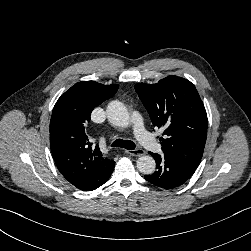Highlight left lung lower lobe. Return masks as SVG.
I'll use <instances>...</instances> for the list:
<instances>
[{"mask_svg":"<svg viewBox=\"0 0 251 251\" xmlns=\"http://www.w3.org/2000/svg\"><path fill=\"white\" fill-rule=\"evenodd\" d=\"M156 160V171L145 179L163 189H173L185 183L195 172L191 165L169 157L149 152Z\"/></svg>","mask_w":251,"mask_h":251,"instance_id":"1","label":"left lung lower lobe"}]
</instances>
